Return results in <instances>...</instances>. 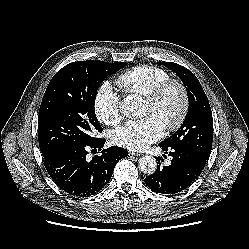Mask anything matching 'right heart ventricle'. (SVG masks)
Wrapping results in <instances>:
<instances>
[{
  "mask_svg": "<svg viewBox=\"0 0 249 249\" xmlns=\"http://www.w3.org/2000/svg\"><path fill=\"white\" fill-rule=\"evenodd\" d=\"M169 78L170 74L162 68L152 65H139L119 75L116 84L126 94L144 96Z\"/></svg>",
  "mask_w": 249,
  "mask_h": 249,
  "instance_id": "1",
  "label": "right heart ventricle"
}]
</instances>
